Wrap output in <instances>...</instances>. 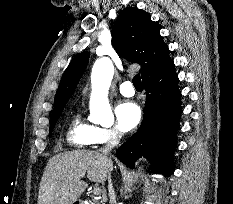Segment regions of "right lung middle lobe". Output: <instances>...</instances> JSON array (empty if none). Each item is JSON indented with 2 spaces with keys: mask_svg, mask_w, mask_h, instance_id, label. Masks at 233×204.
Returning <instances> with one entry per match:
<instances>
[{
  "mask_svg": "<svg viewBox=\"0 0 233 204\" xmlns=\"http://www.w3.org/2000/svg\"><path fill=\"white\" fill-rule=\"evenodd\" d=\"M59 117H60V115H58V116H56V117H54V118L51 119L49 136H51V132H52V130H53V128H54V126H55V124L57 122V119Z\"/></svg>",
  "mask_w": 233,
  "mask_h": 204,
  "instance_id": "1",
  "label": "right lung middle lobe"
}]
</instances>
